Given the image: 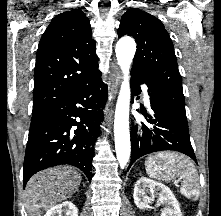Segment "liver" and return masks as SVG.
Wrapping results in <instances>:
<instances>
[{"label": "liver", "mask_w": 221, "mask_h": 216, "mask_svg": "<svg viewBox=\"0 0 221 216\" xmlns=\"http://www.w3.org/2000/svg\"><path fill=\"white\" fill-rule=\"evenodd\" d=\"M80 183L81 175L69 166H57L36 173L26 185L28 216H41L44 211L72 197Z\"/></svg>", "instance_id": "liver-1"}]
</instances>
